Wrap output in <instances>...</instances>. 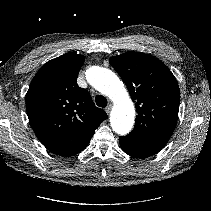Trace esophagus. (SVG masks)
<instances>
[{"label": "esophagus", "mask_w": 211, "mask_h": 211, "mask_svg": "<svg viewBox=\"0 0 211 211\" xmlns=\"http://www.w3.org/2000/svg\"><path fill=\"white\" fill-rule=\"evenodd\" d=\"M105 111H106L107 114H109L110 111H111V106H107V107L105 108Z\"/></svg>", "instance_id": "obj_1"}]
</instances>
